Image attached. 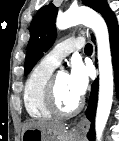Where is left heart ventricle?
<instances>
[{"mask_svg":"<svg viewBox=\"0 0 119 141\" xmlns=\"http://www.w3.org/2000/svg\"><path fill=\"white\" fill-rule=\"evenodd\" d=\"M56 95L59 106L64 110L75 107L80 99L74 94L69 85L68 74L63 71H60L57 75Z\"/></svg>","mask_w":119,"mask_h":141,"instance_id":"obj_1","label":"left heart ventricle"}]
</instances>
